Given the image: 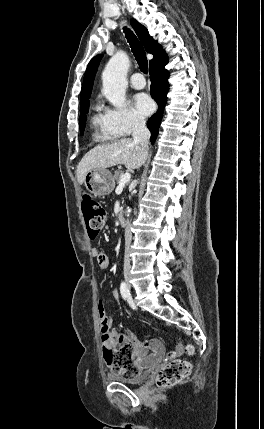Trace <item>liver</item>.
<instances>
[{
    "label": "liver",
    "instance_id": "1",
    "mask_svg": "<svg viewBox=\"0 0 264 429\" xmlns=\"http://www.w3.org/2000/svg\"><path fill=\"white\" fill-rule=\"evenodd\" d=\"M148 150L142 149L139 143L130 138H123L108 144L94 147L87 152L77 166V180L81 185L87 172L93 169L124 164L128 169H138L146 160Z\"/></svg>",
    "mask_w": 264,
    "mask_h": 429
}]
</instances>
